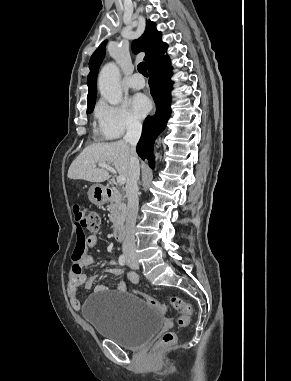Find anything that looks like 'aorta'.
Wrapping results in <instances>:
<instances>
[{"label":"aorta","instance_id":"762f6f07","mask_svg":"<svg viewBox=\"0 0 291 381\" xmlns=\"http://www.w3.org/2000/svg\"><path fill=\"white\" fill-rule=\"evenodd\" d=\"M120 71L115 63H107L98 77V87L101 96L112 105L122 101V91L119 84Z\"/></svg>","mask_w":291,"mask_h":381}]
</instances>
